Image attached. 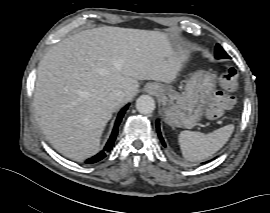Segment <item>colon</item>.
I'll use <instances>...</instances> for the list:
<instances>
[{
    "mask_svg": "<svg viewBox=\"0 0 270 213\" xmlns=\"http://www.w3.org/2000/svg\"><path fill=\"white\" fill-rule=\"evenodd\" d=\"M238 87V72L236 68L229 67L223 71L219 79V90L209 99L205 107V115L211 119L223 117L235 104L232 95Z\"/></svg>",
    "mask_w": 270,
    "mask_h": 213,
    "instance_id": "1",
    "label": "colon"
}]
</instances>
